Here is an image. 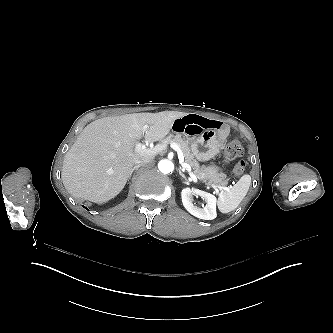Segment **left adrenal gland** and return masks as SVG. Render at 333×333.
Segmentation results:
<instances>
[{"instance_id":"obj_1","label":"left adrenal gland","mask_w":333,"mask_h":333,"mask_svg":"<svg viewBox=\"0 0 333 333\" xmlns=\"http://www.w3.org/2000/svg\"><path fill=\"white\" fill-rule=\"evenodd\" d=\"M179 174H180V176H182L185 179V181H188L187 177L180 169H179Z\"/></svg>"}]
</instances>
